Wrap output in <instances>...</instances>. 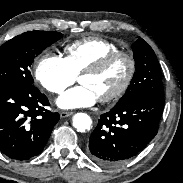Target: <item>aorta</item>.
Here are the masks:
<instances>
[{
	"instance_id": "obj_1",
	"label": "aorta",
	"mask_w": 183,
	"mask_h": 183,
	"mask_svg": "<svg viewBox=\"0 0 183 183\" xmlns=\"http://www.w3.org/2000/svg\"><path fill=\"white\" fill-rule=\"evenodd\" d=\"M72 124L79 132L89 130L92 124V119L86 113H77L73 116Z\"/></svg>"
}]
</instances>
